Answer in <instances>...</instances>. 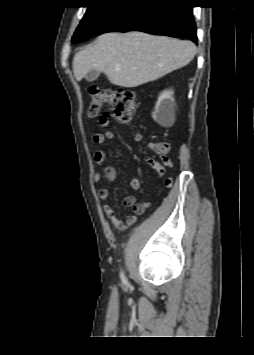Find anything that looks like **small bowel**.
I'll list each match as a JSON object with an SVG mask.
<instances>
[{
  "mask_svg": "<svg viewBox=\"0 0 254 355\" xmlns=\"http://www.w3.org/2000/svg\"><path fill=\"white\" fill-rule=\"evenodd\" d=\"M109 121L104 119L103 122H100L101 126H107ZM115 139V135L112 131L108 130L104 133H95L93 135V141L95 144L101 146L106 143L107 140L113 141ZM162 160L165 165L172 167L173 163L166 157L162 156ZM94 161L96 166L100 169L93 174V181L95 183L102 182L103 180L112 182L116 178V170L114 167L107 166L104 164L105 162V152L103 149L98 148L94 152ZM146 163L159 175L164 176L166 173L165 167L153 158H146ZM130 187L132 190L137 191L140 188V180L137 177H133L130 180ZM109 197V191L107 188L103 187L98 190V198L102 202V211L103 213L111 220L114 226L121 231L126 230L129 226L134 224L137 221V215L142 213L143 205L136 204V197L133 195H129L124 199L125 207H134V213L129 215L126 221H122L118 218L115 209L106 203Z\"/></svg>",
  "mask_w": 254,
  "mask_h": 355,
  "instance_id": "small-bowel-1",
  "label": "small bowel"
}]
</instances>
